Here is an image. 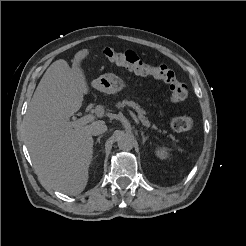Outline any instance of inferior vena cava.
<instances>
[{"label": "inferior vena cava", "mask_w": 246, "mask_h": 246, "mask_svg": "<svg viewBox=\"0 0 246 246\" xmlns=\"http://www.w3.org/2000/svg\"><path fill=\"white\" fill-rule=\"evenodd\" d=\"M107 131V126L103 121H97L92 125L91 134L93 136L100 135Z\"/></svg>", "instance_id": "1"}]
</instances>
